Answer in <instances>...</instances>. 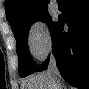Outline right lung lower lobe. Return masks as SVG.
<instances>
[{
	"instance_id": "obj_1",
	"label": "right lung lower lobe",
	"mask_w": 89,
	"mask_h": 89,
	"mask_svg": "<svg viewBox=\"0 0 89 89\" xmlns=\"http://www.w3.org/2000/svg\"><path fill=\"white\" fill-rule=\"evenodd\" d=\"M66 10L51 32L52 50L63 79L79 89L89 88V1L65 0ZM64 23L68 32L63 30ZM49 58L36 72L46 69Z\"/></svg>"
}]
</instances>
